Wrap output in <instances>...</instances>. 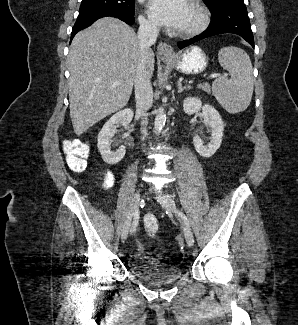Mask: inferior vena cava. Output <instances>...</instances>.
Masks as SVG:
<instances>
[{
  "label": "inferior vena cava",
  "instance_id": "inferior-vena-cava-1",
  "mask_svg": "<svg viewBox=\"0 0 298 325\" xmlns=\"http://www.w3.org/2000/svg\"><path fill=\"white\" fill-rule=\"evenodd\" d=\"M139 22L140 26L138 28V38L140 56L134 86L136 112L139 114V116H141V118H144V116H147V110L153 106V88L150 76L151 72L146 66L147 58L151 44H155L157 40L159 28H157L153 22H148V20H143V18H141ZM141 124L143 126V130H141V132L144 140V138L147 136L145 120H142Z\"/></svg>",
  "mask_w": 298,
  "mask_h": 325
}]
</instances>
